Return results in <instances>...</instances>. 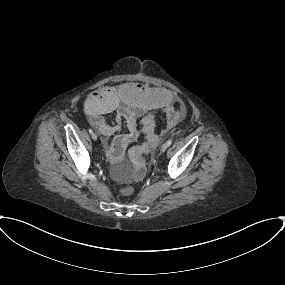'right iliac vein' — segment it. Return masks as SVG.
Instances as JSON below:
<instances>
[{"mask_svg": "<svg viewBox=\"0 0 285 285\" xmlns=\"http://www.w3.org/2000/svg\"><path fill=\"white\" fill-rule=\"evenodd\" d=\"M91 137H92V139H93L94 141H96L97 138H98V136H97L96 133H92V134H91Z\"/></svg>", "mask_w": 285, "mask_h": 285, "instance_id": "right-iliac-vein-1", "label": "right iliac vein"}]
</instances>
